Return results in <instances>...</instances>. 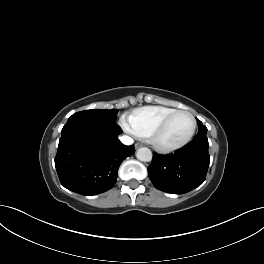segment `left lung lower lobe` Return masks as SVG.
Listing matches in <instances>:
<instances>
[{
    "mask_svg": "<svg viewBox=\"0 0 264 264\" xmlns=\"http://www.w3.org/2000/svg\"><path fill=\"white\" fill-rule=\"evenodd\" d=\"M206 134H197L192 142L173 154H153L148 175L158 190L183 194L200 186L206 177L210 156Z\"/></svg>",
    "mask_w": 264,
    "mask_h": 264,
    "instance_id": "0a47b994",
    "label": "left lung lower lobe"
}]
</instances>
